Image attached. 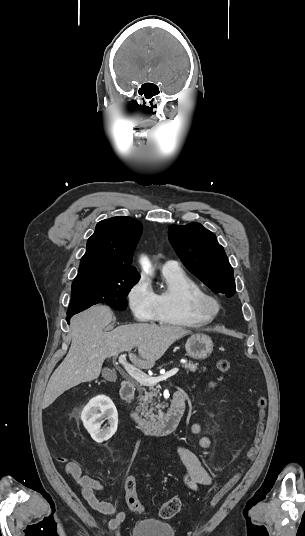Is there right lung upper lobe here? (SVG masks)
I'll use <instances>...</instances> for the list:
<instances>
[{
	"instance_id": "1",
	"label": "right lung upper lobe",
	"mask_w": 305,
	"mask_h": 536,
	"mask_svg": "<svg viewBox=\"0 0 305 536\" xmlns=\"http://www.w3.org/2000/svg\"><path fill=\"white\" fill-rule=\"evenodd\" d=\"M142 223L125 216L100 221L87 241L76 277L140 276L131 265Z\"/></svg>"
}]
</instances>
